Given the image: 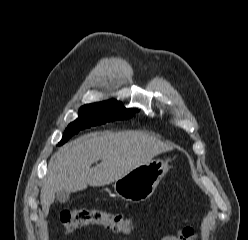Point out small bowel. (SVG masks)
Masks as SVG:
<instances>
[{
	"instance_id": "c3829d8e",
	"label": "small bowel",
	"mask_w": 248,
	"mask_h": 240,
	"mask_svg": "<svg viewBox=\"0 0 248 240\" xmlns=\"http://www.w3.org/2000/svg\"><path fill=\"white\" fill-rule=\"evenodd\" d=\"M195 233L191 227H185L177 230L174 235H169L161 238V240H194ZM120 240H128V238H121Z\"/></svg>"
}]
</instances>
